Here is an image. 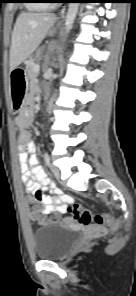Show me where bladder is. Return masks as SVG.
<instances>
[{"instance_id": "obj_1", "label": "bladder", "mask_w": 136, "mask_h": 296, "mask_svg": "<svg viewBox=\"0 0 136 296\" xmlns=\"http://www.w3.org/2000/svg\"><path fill=\"white\" fill-rule=\"evenodd\" d=\"M35 256L40 260L63 258L77 242V230L63 224L47 225L33 233Z\"/></svg>"}]
</instances>
